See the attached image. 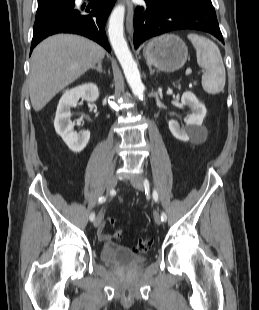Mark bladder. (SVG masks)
I'll use <instances>...</instances> for the list:
<instances>
[{
	"mask_svg": "<svg viewBox=\"0 0 259 310\" xmlns=\"http://www.w3.org/2000/svg\"><path fill=\"white\" fill-rule=\"evenodd\" d=\"M101 261L119 268H132L145 262V258L132 250L115 244H105L100 250Z\"/></svg>",
	"mask_w": 259,
	"mask_h": 310,
	"instance_id": "1",
	"label": "bladder"
}]
</instances>
